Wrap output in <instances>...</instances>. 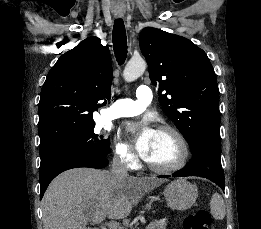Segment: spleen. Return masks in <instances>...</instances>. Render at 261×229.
Segmentation results:
<instances>
[{"mask_svg": "<svg viewBox=\"0 0 261 229\" xmlns=\"http://www.w3.org/2000/svg\"><path fill=\"white\" fill-rule=\"evenodd\" d=\"M210 209L211 215H213L214 219H219V221H222V219H224L226 215V207L219 193H214L210 201Z\"/></svg>", "mask_w": 261, "mask_h": 229, "instance_id": "spleen-1", "label": "spleen"}]
</instances>
